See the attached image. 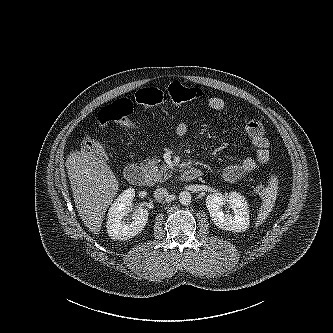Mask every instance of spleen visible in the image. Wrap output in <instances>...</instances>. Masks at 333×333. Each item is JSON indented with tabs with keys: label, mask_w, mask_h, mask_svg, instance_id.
<instances>
[{
	"label": "spleen",
	"mask_w": 333,
	"mask_h": 333,
	"mask_svg": "<svg viewBox=\"0 0 333 333\" xmlns=\"http://www.w3.org/2000/svg\"><path fill=\"white\" fill-rule=\"evenodd\" d=\"M277 192H278V179L272 176L269 181V186L261 193L262 205L257 217L256 227L261 225L262 222H264L267 219L269 213L272 211L275 205Z\"/></svg>",
	"instance_id": "3e777b00"
}]
</instances>
